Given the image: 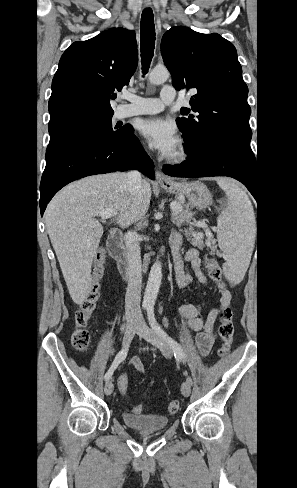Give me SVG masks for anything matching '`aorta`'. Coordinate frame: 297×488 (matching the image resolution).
Wrapping results in <instances>:
<instances>
[{"instance_id":"obj_1","label":"aorta","mask_w":297,"mask_h":488,"mask_svg":"<svg viewBox=\"0 0 297 488\" xmlns=\"http://www.w3.org/2000/svg\"><path fill=\"white\" fill-rule=\"evenodd\" d=\"M169 71L165 67H155L149 73V81L154 85L164 83L169 78ZM162 280V266L161 263L156 261L151 267L147 286L144 293L143 305L145 307H153L158 295V291Z\"/></svg>"}]
</instances>
